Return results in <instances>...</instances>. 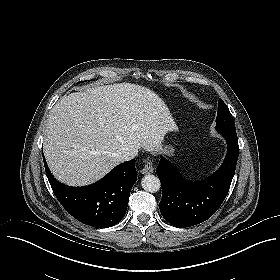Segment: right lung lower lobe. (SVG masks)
I'll list each match as a JSON object with an SVG mask.
<instances>
[{"label":"right lung lower lobe","instance_id":"obj_1","mask_svg":"<svg viewBox=\"0 0 280 280\" xmlns=\"http://www.w3.org/2000/svg\"><path fill=\"white\" fill-rule=\"evenodd\" d=\"M44 164L56 198L67 212L83 224L108 228L124 217L130 191L137 180L134 159L116 166L104 178L85 187H70L58 182L45 159Z\"/></svg>","mask_w":280,"mask_h":280}]
</instances>
